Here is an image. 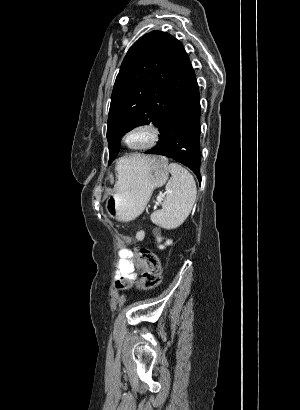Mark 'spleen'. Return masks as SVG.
I'll return each mask as SVG.
<instances>
[{
    "instance_id": "spleen-1",
    "label": "spleen",
    "mask_w": 300,
    "mask_h": 410,
    "mask_svg": "<svg viewBox=\"0 0 300 410\" xmlns=\"http://www.w3.org/2000/svg\"><path fill=\"white\" fill-rule=\"evenodd\" d=\"M127 161L122 158L116 167L118 174L127 168ZM168 169L171 178L166 185V198L162 209L151 214V221L164 229L179 227L189 216L196 200V183L193 176L178 163H170Z\"/></svg>"
}]
</instances>
